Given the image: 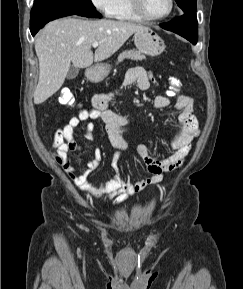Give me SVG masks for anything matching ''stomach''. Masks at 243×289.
I'll return each instance as SVG.
<instances>
[{
    "label": "stomach",
    "instance_id": "1",
    "mask_svg": "<svg viewBox=\"0 0 243 289\" xmlns=\"http://www.w3.org/2000/svg\"><path fill=\"white\" fill-rule=\"evenodd\" d=\"M137 49L149 56H157L165 49L164 41L150 28L137 31L134 35ZM110 72V65L98 64L86 71V77L92 82L102 81Z\"/></svg>",
    "mask_w": 243,
    "mask_h": 289
}]
</instances>
